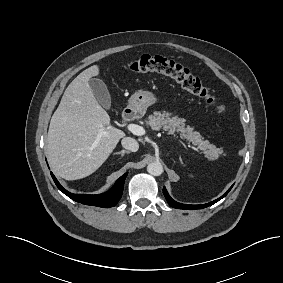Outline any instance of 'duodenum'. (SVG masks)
<instances>
[{
  "label": "duodenum",
  "mask_w": 283,
  "mask_h": 283,
  "mask_svg": "<svg viewBox=\"0 0 283 283\" xmlns=\"http://www.w3.org/2000/svg\"><path fill=\"white\" fill-rule=\"evenodd\" d=\"M123 120L126 122H131L137 117V109L134 107H128L123 113Z\"/></svg>",
  "instance_id": "obj_1"
}]
</instances>
